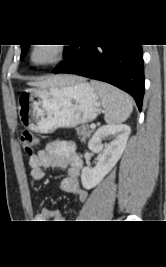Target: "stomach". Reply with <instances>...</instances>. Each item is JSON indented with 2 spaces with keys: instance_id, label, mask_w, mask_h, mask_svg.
Returning <instances> with one entry per match:
<instances>
[{
  "instance_id": "stomach-1",
  "label": "stomach",
  "mask_w": 166,
  "mask_h": 267,
  "mask_svg": "<svg viewBox=\"0 0 166 267\" xmlns=\"http://www.w3.org/2000/svg\"><path fill=\"white\" fill-rule=\"evenodd\" d=\"M18 104L23 126L42 134L91 122L102 111L98 92L86 81L27 89Z\"/></svg>"
}]
</instances>
